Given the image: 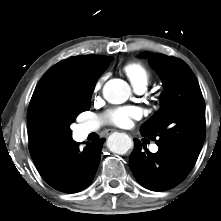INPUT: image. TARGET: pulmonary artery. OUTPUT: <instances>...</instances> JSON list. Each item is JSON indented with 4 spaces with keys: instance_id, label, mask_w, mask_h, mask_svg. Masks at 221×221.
Segmentation results:
<instances>
[{
    "instance_id": "pulmonary-artery-1",
    "label": "pulmonary artery",
    "mask_w": 221,
    "mask_h": 221,
    "mask_svg": "<svg viewBox=\"0 0 221 221\" xmlns=\"http://www.w3.org/2000/svg\"><path fill=\"white\" fill-rule=\"evenodd\" d=\"M145 90H146V86L145 85H141V86L135 87V91L137 93H139V94L144 93ZM98 128H99V124L97 122H89V123H86L84 125L83 129H84L85 133H90L92 131L97 130ZM150 150H151V152L156 153L159 150V148H158V146L156 144H152L150 146Z\"/></svg>"
}]
</instances>
